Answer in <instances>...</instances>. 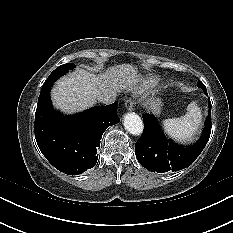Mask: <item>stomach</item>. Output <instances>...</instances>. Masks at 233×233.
Instances as JSON below:
<instances>
[{"label":"stomach","mask_w":233,"mask_h":233,"mask_svg":"<svg viewBox=\"0 0 233 233\" xmlns=\"http://www.w3.org/2000/svg\"><path fill=\"white\" fill-rule=\"evenodd\" d=\"M145 105L148 108V110H150L153 114H155V115L160 114L161 106H162L160 99H158V98L148 99L146 101Z\"/></svg>","instance_id":"obj_1"}]
</instances>
